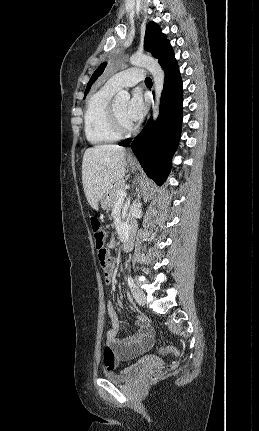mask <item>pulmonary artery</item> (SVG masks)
Returning <instances> with one entry per match:
<instances>
[{"label":"pulmonary artery","instance_id":"1","mask_svg":"<svg viewBox=\"0 0 259 431\" xmlns=\"http://www.w3.org/2000/svg\"><path fill=\"white\" fill-rule=\"evenodd\" d=\"M145 77V73L142 69L131 68L112 76L106 83L109 87L116 91L123 87H131L142 81Z\"/></svg>","mask_w":259,"mask_h":431}]
</instances>
